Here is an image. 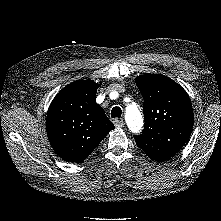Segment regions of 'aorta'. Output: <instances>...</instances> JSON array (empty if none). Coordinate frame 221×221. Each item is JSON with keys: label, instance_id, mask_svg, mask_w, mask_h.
<instances>
[{"label": "aorta", "instance_id": "762f6f07", "mask_svg": "<svg viewBox=\"0 0 221 221\" xmlns=\"http://www.w3.org/2000/svg\"><path fill=\"white\" fill-rule=\"evenodd\" d=\"M125 120L129 129L132 132L137 133L142 129L143 117L136 103L133 102L127 105L125 112Z\"/></svg>", "mask_w": 221, "mask_h": 221}]
</instances>
